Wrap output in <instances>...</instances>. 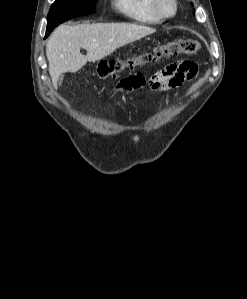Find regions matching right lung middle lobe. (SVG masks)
<instances>
[{
    "instance_id": "obj_1",
    "label": "right lung middle lobe",
    "mask_w": 247,
    "mask_h": 299,
    "mask_svg": "<svg viewBox=\"0 0 247 299\" xmlns=\"http://www.w3.org/2000/svg\"><path fill=\"white\" fill-rule=\"evenodd\" d=\"M97 0H56L47 18V37L59 24L77 16L92 14L96 10Z\"/></svg>"
}]
</instances>
